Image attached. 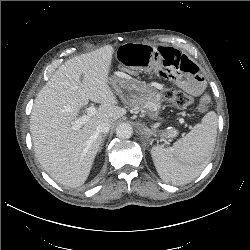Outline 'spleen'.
<instances>
[{"label":"spleen","mask_w":250,"mask_h":250,"mask_svg":"<svg viewBox=\"0 0 250 250\" xmlns=\"http://www.w3.org/2000/svg\"><path fill=\"white\" fill-rule=\"evenodd\" d=\"M217 125V115L210 111L172 147H152L151 156L160 178L184 185L198 177L214 151Z\"/></svg>","instance_id":"1"}]
</instances>
